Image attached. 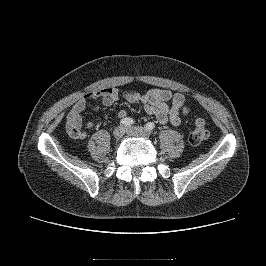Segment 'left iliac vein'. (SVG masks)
<instances>
[{
    "mask_svg": "<svg viewBox=\"0 0 266 266\" xmlns=\"http://www.w3.org/2000/svg\"><path fill=\"white\" fill-rule=\"evenodd\" d=\"M125 131L128 135L136 136V137L147 138L151 135V131L148 130L146 127H142V126L127 127Z\"/></svg>",
    "mask_w": 266,
    "mask_h": 266,
    "instance_id": "left-iliac-vein-1",
    "label": "left iliac vein"
}]
</instances>
